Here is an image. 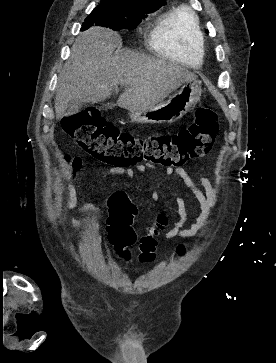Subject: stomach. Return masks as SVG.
Instances as JSON below:
<instances>
[{"instance_id":"0dacf381","label":"stomach","mask_w":276,"mask_h":363,"mask_svg":"<svg viewBox=\"0 0 276 363\" xmlns=\"http://www.w3.org/2000/svg\"><path fill=\"white\" fill-rule=\"evenodd\" d=\"M201 82H185L179 91L167 101L158 103L148 109L130 110L129 116L137 123H172L193 110L200 101Z\"/></svg>"}]
</instances>
